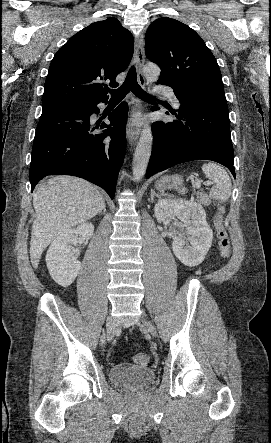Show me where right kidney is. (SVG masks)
Segmentation results:
<instances>
[{
	"label": "right kidney",
	"mask_w": 271,
	"mask_h": 443,
	"mask_svg": "<svg viewBox=\"0 0 271 443\" xmlns=\"http://www.w3.org/2000/svg\"><path fill=\"white\" fill-rule=\"evenodd\" d=\"M94 231L93 223L86 222L78 225L76 229H66L61 235L55 237L51 245H49L46 253L47 267L54 281L68 287L77 277L81 263L77 259L79 249H75L78 235L83 239H90Z\"/></svg>",
	"instance_id": "obj_1"
}]
</instances>
